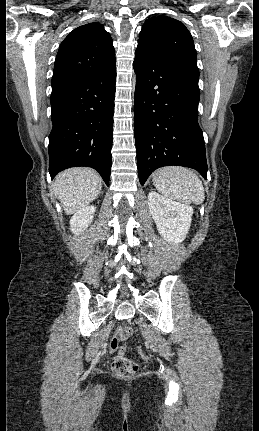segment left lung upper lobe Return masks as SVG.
<instances>
[{
	"instance_id": "left-lung-upper-lobe-1",
	"label": "left lung upper lobe",
	"mask_w": 259,
	"mask_h": 431,
	"mask_svg": "<svg viewBox=\"0 0 259 431\" xmlns=\"http://www.w3.org/2000/svg\"><path fill=\"white\" fill-rule=\"evenodd\" d=\"M137 47L199 75L193 38L185 25L176 19L157 16L146 20Z\"/></svg>"
}]
</instances>
